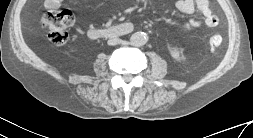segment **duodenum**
I'll return each instance as SVG.
<instances>
[{"mask_svg":"<svg viewBox=\"0 0 253 138\" xmlns=\"http://www.w3.org/2000/svg\"><path fill=\"white\" fill-rule=\"evenodd\" d=\"M126 33V29L125 28H117V29H108L104 31V35L106 37H117L119 35H123Z\"/></svg>","mask_w":253,"mask_h":138,"instance_id":"duodenum-1","label":"duodenum"}]
</instances>
